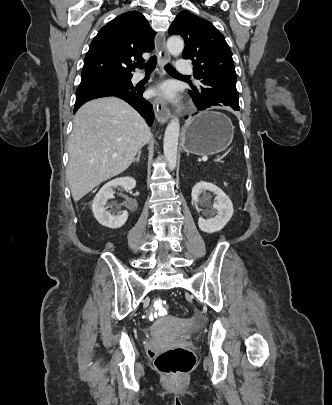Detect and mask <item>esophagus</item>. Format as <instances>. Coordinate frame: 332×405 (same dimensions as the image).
<instances>
[{
	"mask_svg": "<svg viewBox=\"0 0 332 405\" xmlns=\"http://www.w3.org/2000/svg\"><path fill=\"white\" fill-rule=\"evenodd\" d=\"M155 44L159 56V64L162 67L166 62L170 61V55L166 48V38L163 33L156 36ZM153 106L158 122L166 123L171 117V112L166 102L162 98H156Z\"/></svg>",
	"mask_w": 332,
	"mask_h": 405,
	"instance_id": "34e87169",
	"label": "esophagus"
}]
</instances>
